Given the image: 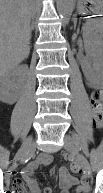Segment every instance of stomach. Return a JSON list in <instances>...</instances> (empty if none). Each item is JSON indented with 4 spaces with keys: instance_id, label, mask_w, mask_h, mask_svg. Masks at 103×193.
<instances>
[{
    "instance_id": "1",
    "label": "stomach",
    "mask_w": 103,
    "mask_h": 193,
    "mask_svg": "<svg viewBox=\"0 0 103 193\" xmlns=\"http://www.w3.org/2000/svg\"><path fill=\"white\" fill-rule=\"evenodd\" d=\"M77 8L79 13H100L103 8V0H78Z\"/></svg>"
}]
</instances>
